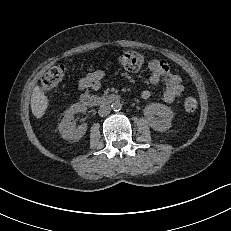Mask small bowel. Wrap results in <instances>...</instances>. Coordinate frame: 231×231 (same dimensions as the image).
Masks as SVG:
<instances>
[{"mask_svg":"<svg viewBox=\"0 0 231 231\" xmlns=\"http://www.w3.org/2000/svg\"><path fill=\"white\" fill-rule=\"evenodd\" d=\"M148 68L151 71L150 82L153 85L164 83L165 88L162 92V100L166 103H172L183 94V85L180 75L172 73L167 62L153 59L149 62ZM104 76L102 70H94L87 73L79 81V87L82 90L98 91L101 80ZM152 93L150 90H143L141 97L145 100L150 99Z\"/></svg>","mask_w":231,"mask_h":231,"instance_id":"1","label":"small bowel"}]
</instances>
